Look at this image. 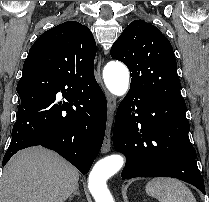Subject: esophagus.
<instances>
[{"mask_svg":"<svg viewBox=\"0 0 209 202\" xmlns=\"http://www.w3.org/2000/svg\"><path fill=\"white\" fill-rule=\"evenodd\" d=\"M100 69V65H98V73ZM106 97H107V105H108V116H107V123H106V132L104 141L102 144L101 152L107 153L111 147V129L114 121V114L116 110V99L113 95L109 94L106 90Z\"/></svg>","mask_w":209,"mask_h":202,"instance_id":"34e87169","label":"esophagus"}]
</instances>
